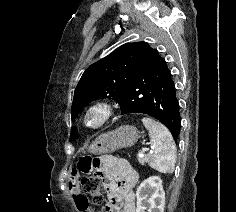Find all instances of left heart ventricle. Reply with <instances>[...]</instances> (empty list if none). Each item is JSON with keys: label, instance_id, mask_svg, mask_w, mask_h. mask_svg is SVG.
<instances>
[{"label": "left heart ventricle", "instance_id": "left-heart-ventricle-1", "mask_svg": "<svg viewBox=\"0 0 236 212\" xmlns=\"http://www.w3.org/2000/svg\"><path fill=\"white\" fill-rule=\"evenodd\" d=\"M98 118H99L98 115H93V116L91 117V121H92V122H96V121L98 120Z\"/></svg>", "mask_w": 236, "mask_h": 212}]
</instances>
